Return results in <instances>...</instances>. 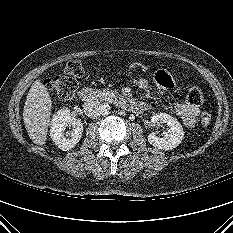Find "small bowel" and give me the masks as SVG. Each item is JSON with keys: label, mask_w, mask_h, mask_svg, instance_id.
I'll return each instance as SVG.
<instances>
[{"label": "small bowel", "mask_w": 233, "mask_h": 233, "mask_svg": "<svg viewBox=\"0 0 233 233\" xmlns=\"http://www.w3.org/2000/svg\"><path fill=\"white\" fill-rule=\"evenodd\" d=\"M154 80L156 84L164 90H170L174 86L171 75L165 70H158L154 75ZM148 85L149 82L146 78H141L138 80V87L140 89L145 90L147 89ZM139 104L142 110H146L149 107L145 102H140ZM173 111L188 128H192L195 125L196 118L199 114V109L189 105L187 102L176 103L173 107Z\"/></svg>", "instance_id": "obj_1"}]
</instances>
